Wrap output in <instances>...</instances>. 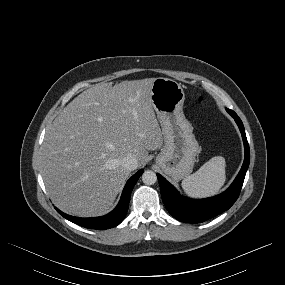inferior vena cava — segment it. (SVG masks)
I'll use <instances>...</instances> for the list:
<instances>
[{
  "label": "inferior vena cava",
  "instance_id": "inferior-vena-cava-1",
  "mask_svg": "<svg viewBox=\"0 0 285 285\" xmlns=\"http://www.w3.org/2000/svg\"><path fill=\"white\" fill-rule=\"evenodd\" d=\"M122 165L129 171H133L138 167V160L133 155H128L122 159Z\"/></svg>",
  "mask_w": 285,
  "mask_h": 285
}]
</instances>
